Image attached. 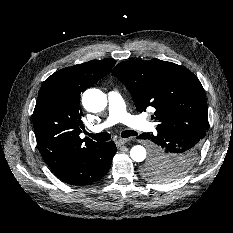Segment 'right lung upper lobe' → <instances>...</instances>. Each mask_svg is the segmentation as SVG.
<instances>
[{
  "label": "right lung upper lobe",
  "instance_id": "right-lung-upper-lobe-1",
  "mask_svg": "<svg viewBox=\"0 0 233 233\" xmlns=\"http://www.w3.org/2000/svg\"><path fill=\"white\" fill-rule=\"evenodd\" d=\"M115 65L92 60L61 69L48 77L39 91L33 112L35 136L42 157L53 173L98 143L81 139L80 93L94 85Z\"/></svg>",
  "mask_w": 233,
  "mask_h": 233
}]
</instances>
